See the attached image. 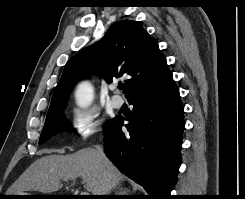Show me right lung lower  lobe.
<instances>
[{
    "mask_svg": "<svg viewBox=\"0 0 245 199\" xmlns=\"http://www.w3.org/2000/svg\"><path fill=\"white\" fill-rule=\"evenodd\" d=\"M134 106L125 120L115 117L105 130V154L126 176L142 185L150 199H170L181 164L183 106L172 79L165 86L128 99Z\"/></svg>",
    "mask_w": 245,
    "mask_h": 199,
    "instance_id": "obj_1",
    "label": "right lung lower lobe"
}]
</instances>
